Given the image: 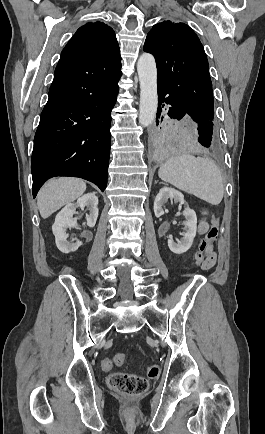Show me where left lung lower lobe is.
Wrapping results in <instances>:
<instances>
[{"label":"left lung lower lobe","mask_w":265,"mask_h":434,"mask_svg":"<svg viewBox=\"0 0 265 434\" xmlns=\"http://www.w3.org/2000/svg\"><path fill=\"white\" fill-rule=\"evenodd\" d=\"M166 94H169V97L165 98ZM158 100H159V111L157 117L160 118L161 107H164V102L172 105L168 111V116L172 119L180 120L182 118L191 119L193 122L194 118H192L187 112L183 104L171 96L168 90L161 85L158 84ZM156 119V122L159 123V119ZM162 121V119H161ZM196 123V122H195ZM196 129V137H197V149L205 154H214L218 153L221 150V142L219 140V136L217 133V129L215 125L212 124H197L195 125ZM154 147L157 152L161 154H172L177 153L181 150V147L175 142L165 139L159 138L154 142Z\"/></svg>","instance_id":"0a47b994"}]
</instances>
